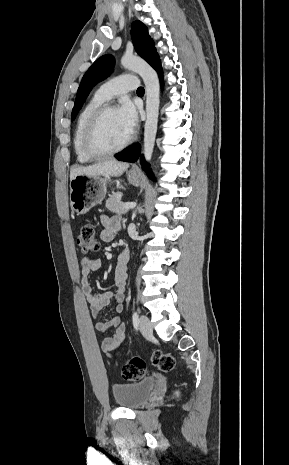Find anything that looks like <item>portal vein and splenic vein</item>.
Masks as SVG:
<instances>
[{
    "mask_svg": "<svg viewBox=\"0 0 289 465\" xmlns=\"http://www.w3.org/2000/svg\"><path fill=\"white\" fill-rule=\"evenodd\" d=\"M135 206H136L135 202H127V203L123 204V208H125V209H131V208H133Z\"/></svg>",
    "mask_w": 289,
    "mask_h": 465,
    "instance_id": "18ae733b",
    "label": "portal vein and splenic vein"
}]
</instances>
